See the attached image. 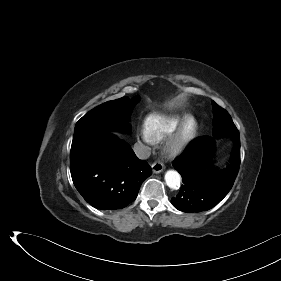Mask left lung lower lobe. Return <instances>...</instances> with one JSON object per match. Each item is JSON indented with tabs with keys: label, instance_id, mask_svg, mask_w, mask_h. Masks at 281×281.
Masks as SVG:
<instances>
[{
	"label": "left lung lower lobe",
	"instance_id": "left-lung-lower-lobe-1",
	"mask_svg": "<svg viewBox=\"0 0 281 281\" xmlns=\"http://www.w3.org/2000/svg\"><path fill=\"white\" fill-rule=\"evenodd\" d=\"M232 137L235 148L230 165L225 170L218 171L212 165L214 138L210 136L197 138L174 160L173 166L183 181L180 192L171 199L175 208L187 213L209 210L228 194L240 166L239 132Z\"/></svg>",
	"mask_w": 281,
	"mask_h": 281
}]
</instances>
